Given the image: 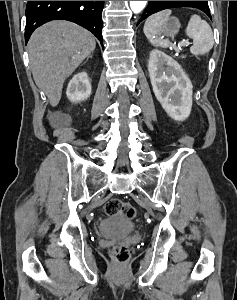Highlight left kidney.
<instances>
[{
    "mask_svg": "<svg viewBox=\"0 0 237 300\" xmlns=\"http://www.w3.org/2000/svg\"><path fill=\"white\" fill-rule=\"evenodd\" d=\"M148 71L154 95L167 115L174 121L188 119L192 109L193 85L179 63L163 51L153 49Z\"/></svg>",
    "mask_w": 237,
    "mask_h": 300,
    "instance_id": "5707ae66",
    "label": "left kidney"
}]
</instances>
